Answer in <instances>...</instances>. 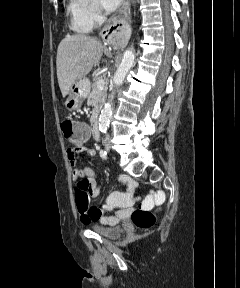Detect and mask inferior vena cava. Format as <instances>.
Returning <instances> with one entry per match:
<instances>
[{
  "instance_id": "inferior-vena-cava-1",
  "label": "inferior vena cava",
  "mask_w": 240,
  "mask_h": 288,
  "mask_svg": "<svg viewBox=\"0 0 240 288\" xmlns=\"http://www.w3.org/2000/svg\"><path fill=\"white\" fill-rule=\"evenodd\" d=\"M106 139H109V135L106 136Z\"/></svg>"
}]
</instances>
